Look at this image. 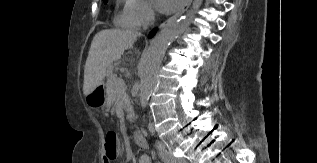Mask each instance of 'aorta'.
<instances>
[{"instance_id":"762f6f07","label":"aorta","mask_w":317,"mask_h":163,"mask_svg":"<svg viewBox=\"0 0 317 163\" xmlns=\"http://www.w3.org/2000/svg\"><path fill=\"white\" fill-rule=\"evenodd\" d=\"M203 0H194L185 16L169 22L151 41L139 68L140 105L146 108L156 83L157 71L169 45L190 26Z\"/></svg>"}]
</instances>
